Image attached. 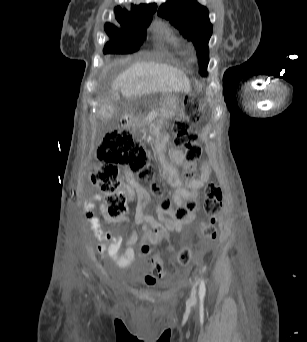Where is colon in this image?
I'll return each instance as SVG.
<instances>
[{
	"mask_svg": "<svg viewBox=\"0 0 307 342\" xmlns=\"http://www.w3.org/2000/svg\"><path fill=\"white\" fill-rule=\"evenodd\" d=\"M200 106L197 100L189 98L183 105V114L177 117L172 125L175 146L184 153L185 163L188 166L187 177L195 178L199 175L196 163L202 154L201 147L196 142L193 125L199 120ZM97 158L100 165L95 167L90 175V180L102 193V214L113 220H122L127 213V200L121 190L119 169H125L138 174L143 180H149L152 176L148 162V155L141 141L125 130H114L109 132L102 140ZM151 191L159 194L162 187L153 183ZM203 211L207 219L200 222V234L208 239L217 237V217L221 210L222 190L214 183H209L204 188ZM160 207L164 211L171 209L169 199H163ZM195 210L193 202L176 210L179 220H186ZM169 233L159 226L147 230L140 242L142 254H150L151 245L148 242H163ZM168 246L174 245L173 239L167 240ZM191 250L183 248L177 255L179 264L186 265L191 262ZM150 263L154 265L151 274L144 277V283L148 286L155 285L164 276V267L157 256H151Z\"/></svg>",
	"mask_w": 307,
	"mask_h": 342,
	"instance_id": "5ec220e1",
	"label": "colon"
}]
</instances>
